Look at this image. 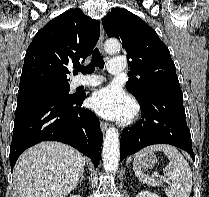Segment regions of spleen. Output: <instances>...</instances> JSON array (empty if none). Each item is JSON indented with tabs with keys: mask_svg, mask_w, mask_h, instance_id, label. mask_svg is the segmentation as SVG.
<instances>
[{
	"mask_svg": "<svg viewBox=\"0 0 209 197\" xmlns=\"http://www.w3.org/2000/svg\"><path fill=\"white\" fill-rule=\"evenodd\" d=\"M153 151H162L167 156L169 163L163 169L165 176L172 184L165 189L168 197H189L192 190V172L188 162L177 148L167 144H154L135 154L133 170L137 178L150 186H163V182L150 177L141 170V160Z\"/></svg>",
	"mask_w": 209,
	"mask_h": 197,
	"instance_id": "obj_1",
	"label": "spleen"
}]
</instances>
